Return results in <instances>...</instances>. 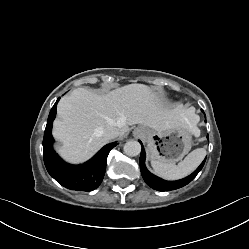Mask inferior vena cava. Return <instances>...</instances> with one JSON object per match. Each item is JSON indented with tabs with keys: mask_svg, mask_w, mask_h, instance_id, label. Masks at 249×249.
Masks as SVG:
<instances>
[{
	"mask_svg": "<svg viewBox=\"0 0 249 249\" xmlns=\"http://www.w3.org/2000/svg\"><path fill=\"white\" fill-rule=\"evenodd\" d=\"M103 135L106 139L110 140L117 138L120 135V131L115 127H107L104 130Z\"/></svg>",
	"mask_w": 249,
	"mask_h": 249,
	"instance_id": "602c4592",
	"label": "inferior vena cava"
}]
</instances>
